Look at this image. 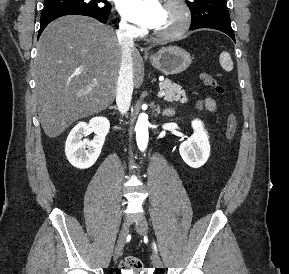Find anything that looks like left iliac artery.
<instances>
[{"mask_svg":"<svg viewBox=\"0 0 289 274\" xmlns=\"http://www.w3.org/2000/svg\"><path fill=\"white\" fill-rule=\"evenodd\" d=\"M154 249H155V251H156V245L154 244Z\"/></svg>","mask_w":289,"mask_h":274,"instance_id":"44dca946","label":"left iliac artery"}]
</instances>
